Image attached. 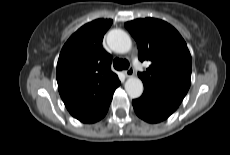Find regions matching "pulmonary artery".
Returning <instances> with one entry per match:
<instances>
[{"label": "pulmonary artery", "instance_id": "pulmonary-artery-1", "mask_svg": "<svg viewBox=\"0 0 230 155\" xmlns=\"http://www.w3.org/2000/svg\"><path fill=\"white\" fill-rule=\"evenodd\" d=\"M134 65H135V68L139 71L142 70V67H141V64L139 63L138 60H134Z\"/></svg>", "mask_w": 230, "mask_h": 155}]
</instances>
